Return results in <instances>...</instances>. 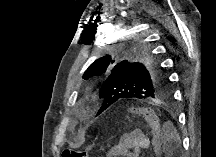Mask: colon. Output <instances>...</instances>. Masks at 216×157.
Segmentation results:
<instances>
[{
    "instance_id": "colon-1",
    "label": "colon",
    "mask_w": 216,
    "mask_h": 157,
    "mask_svg": "<svg viewBox=\"0 0 216 157\" xmlns=\"http://www.w3.org/2000/svg\"><path fill=\"white\" fill-rule=\"evenodd\" d=\"M129 117L139 118L145 121L150 127L153 134L158 133L160 123H159L158 116L152 109L144 108V109L131 110L129 112ZM90 149H91L90 147L84 150H75L71 148H66L62 153V157H88Z\"/></svg>"
}]
</instances>
